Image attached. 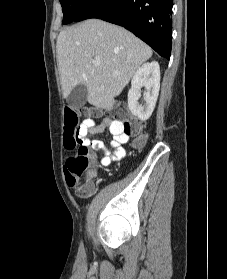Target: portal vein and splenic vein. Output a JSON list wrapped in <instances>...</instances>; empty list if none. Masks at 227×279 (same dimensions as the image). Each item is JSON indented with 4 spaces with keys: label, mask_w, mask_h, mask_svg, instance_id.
Wrapping results in <instances>:
<instances>
[{
    "label": "portal vein and splenic vein",
    "mask_w": 227,
    "mask_h": 279,
    "mask_svg": "<svg viewBox=\"0 0 227 279\" xmlns=\"http://www.w3.org/2000/svg\"><path fill=\"white\" fill-rule=\"evenodd\" d=\"M93 64L96 65V66L100 65V63L98 61H93Z\"/></svg>",
    "instance_id": "portal-vein-and-splenic-vein-1"
}]
</instances>
